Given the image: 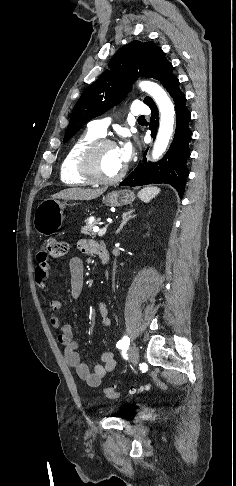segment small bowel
I'll return each mask as SVG.
<instances>
[{
  "label": "small bowel",
  "instance_id": "obj_1",
  "mask_svg": "<svg viewBox=\"0 0 236 486\" xmlns=\"http://www.w3.org/2000/svg\"><path fill=\"white\" fill-rule=\"evenodd\" d=\"M98 244L91 239H82L78 243L79 250L84 254L97 253ZM70 271V289L69 295L73 299L80 297L84 283V264L83 261L76 256H72L68 261ZM49 272V264L42 253L38 256L37 265L35 268V280L37 284L44 290L47 289V280ZM50 315V324L53 328L59 331L58 341L64 347V358L66 363L72 367L77 373L78 377L85 381L91 387L100 385L102 378L116 367V360L112 352H104L101 355V363L90 367L80 356L78 351V343L74 338L71 325L65 323L60 318L61 303L56 299H51L47 305ZM98 310L100 313L101 323L105 327L111 325V318L105 302L98 303Z\"/></svg>",
  "mask_w": 236,
  "mask_h": 486
}]
</instances>
